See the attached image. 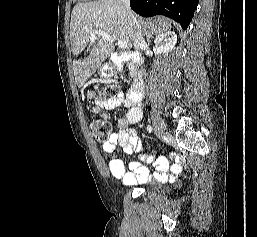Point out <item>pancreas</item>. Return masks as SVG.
I'll list each match as a JSON object with an SVG mask.
<instances>
[{
  "instance_id": "cf45deb5",
  "label": "pancreas",
  "mask_w": 257,
  "mask_h": 237,
  "mask_svg": "<svg viewBox=\"0 0 257 237\" xmlns=\"http://www.w3.org/2000/svg\"><path fill=\"white\" fill-rule=\"evenodd\" d=\"M127 67H128V71H129V76L133 78L135 76V69H134L133 64L128 63Z\"/></svg>"
}]
</instances>
